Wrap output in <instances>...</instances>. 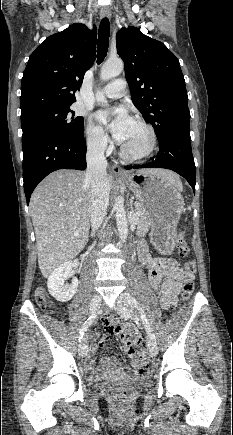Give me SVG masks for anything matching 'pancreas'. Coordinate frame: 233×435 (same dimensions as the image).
<instances>
[{
  "label": "pancreas",
  "mask_w": 233,
  "mask_h": 435,
  "mask_svg": "<svg viewBox=\"0 0 233 435\" xmlns=\"http://www.w3.org/2000/svg\"><path fill=\"white\" fill-rule=\"evenodd\" d=\"M135 210L140 213V215L137 217L138 220V226H137V235L144 236L148 231L150 227V223L147 219L146 210L143 205L140 203L136 205Z\"/></svg>",
  "instance_id": "pancreas-1"
}]
</instances>
